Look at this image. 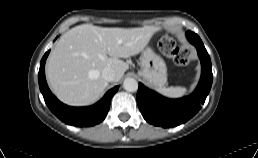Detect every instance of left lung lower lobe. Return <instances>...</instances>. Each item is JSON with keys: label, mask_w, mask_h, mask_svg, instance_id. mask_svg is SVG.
Returning a JSON list of instances; mask_svg holds the SVG:
<instances>
[{"label": "left lung lower lobe", "mask_w": 258, "mask_h": 158, "mask_svg": "<svg viewBox=\"0 0 258 158\" xmlns=\"http://www.w3.org/2000/svg\"><path fill=\"white\" fill-rule=\"evenodd\" d=\"M186 37L196 47L202 65L201 79L191 95L168 99L139 83L138 107L144 119L155 126L174 127L185 123L200 110L210 92L213 74L209 54L197 34L187 31Z\"/></svg>", "instance_id": "0a47b994"}]
</instances>
